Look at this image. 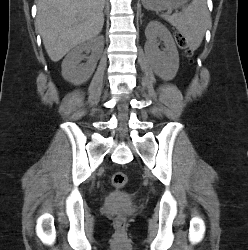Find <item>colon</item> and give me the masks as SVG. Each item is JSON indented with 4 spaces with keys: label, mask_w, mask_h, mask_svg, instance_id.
<instances>
[{
    "label": "colon",
    "mask_w": 248,
    "mask_h": 250,
    "mask_svg": "<svg viewBox=\"0 0 248 250\" xmlns=\"http://www.w3.org/2000/svg\"><path fill=\"white\" fill-rule=\"evenodd\" d=\"M175 40L178 44V46L183 49L185 51V54L187 56L191 55V50L189 49L186 39L180 34V33H176L175 34ZM128 182V177L126 175V173L124 172H115L112 176H111V183L114 187L116 188H122L124 187ZM118 225H122L124 223V218L122 216L117 217L116 220Z\"/></svg>",
    "instance_id": "1"
}]
</instances>
